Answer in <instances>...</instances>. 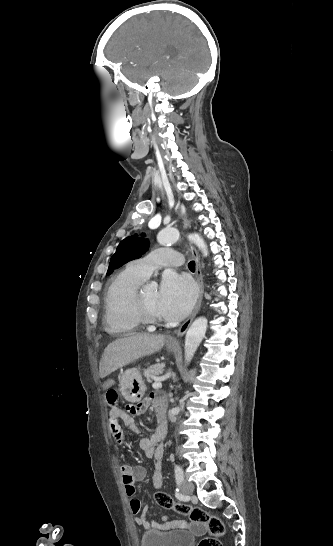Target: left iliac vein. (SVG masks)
Returning <instances> with one entry per match:
<instances>
[{
  "mask_svg": "<svg viewBox=\"0 0 333 546\" xmlns=\"http://www.w3.org/2000/svg\"><path fill=\"white\" fill-rule=\"evenodd\" d=\"M193 489H194V485L188 481H184L181 484V491L185 495L191 494L193 492Z\"/></svg>",
  "mask_w": 333,
  "mask_h": 546,
  "instance_id": "4c4485c4",
  "label": "left iliac vein"
}]
</instances>
